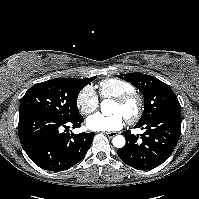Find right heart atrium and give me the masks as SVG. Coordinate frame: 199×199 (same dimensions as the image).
<instances>
[{
	"label": "right heart atrium",
	"mask_w": 199,
	"mask_h": 199,
	"mask_svg": "<svg viewBox=\"0 0 199 199\" xmlns=\"http://www.w3.org/2000/svg\"><path fill=\"white\" fill-rule=\"evenodd\" d=\"M76 104L79 111L87 116L94 113L99 107V98L92 86L87 85L79 92Z\"/></svg>",
	"instance_id": "right-heart-atrium-1"
}]
</instances>
